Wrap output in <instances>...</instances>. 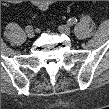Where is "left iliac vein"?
I'll return each instance as SVG.
<instances>
[{
	"instance_id": "obj_1",
	"label": "left iliac vein",
	"mask_w": 109,
	"mask_h": 109,
	"mask_svg": "<svg viewBox=\"0 0 109 109\" xmlns=\"http://www.w3.org/2000/svg\"><path fill=\"white\" fill-rule=\"evenodd\" d=\"M58 30L61 33H65V34H70V32H71L70 27L67 26V25H61V26H59Z\"/></svg>"
}]
</instances>
